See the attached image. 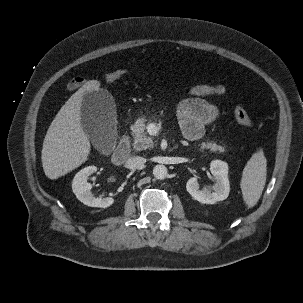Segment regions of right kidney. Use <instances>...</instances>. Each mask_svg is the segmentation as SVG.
Instances as JSON below:
<instances>
[{"mask_svg":"<svg viewBox=\"0 0 303 303\" xmlns=\"http://www.w3.org/2000/svg\"><path fill=\"white\" fill-rule=\"evenodd\" d=\"M96 171L97 167L95 166H88L79 171L72 181V190L77 199L85 205L98 208H107L113 204L114 199L111 197H95L91 192L92 185L87 182L88 177Z\"/></svg>","mask_w":303,"mask_h":303,"instance_id":"right-kidney-1","label":"right kidney"}]
</instances>
